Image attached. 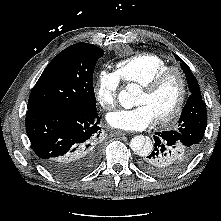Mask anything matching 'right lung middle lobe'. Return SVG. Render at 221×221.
I'll use <instances>...</instances> for the list:
<instances>
[{
	"label": "right lung middle lobe",
	"instance_id": "obj_1",
	"mask_svg": "<svg viewBox=\"0 0 221 221\" xmlns=\"http://www.w3.org/2000/svg\"><path fill=\"white\" fill-rule=\"evenodd\" d=\"M103 55V49L89 43L61 51L32 89L28 109L97 110L93 71Z\"/></svg>",
	"mask_w": 221,
	"mask_h": 221
}]
</instances>
